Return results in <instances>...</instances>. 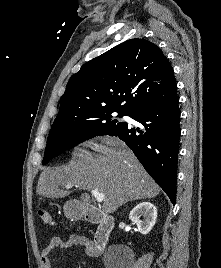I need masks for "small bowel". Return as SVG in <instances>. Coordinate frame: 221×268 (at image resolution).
<instances>
[{"mask_svg": "<svg viewBox=\"0 0 221 268\" xmlns=\"http://www.w3.org/2000/svg\"><path fill=\"white\" fill-rule=\"evenodd\" d=\"M74 246H79L85 250L90 256H97L98 252L95 249L94 242L86 236L72 234L67 238L59 236L53 237L48 245L41 251V263L43 268H54L52 265V256L56 249H68Z\"/></svg>", "mask_w": 221, "mask_h": 268, "instance_id": "1", "label": "small bowel"}]
</instances>
